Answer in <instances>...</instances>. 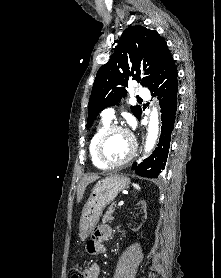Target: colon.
<instances>
[{"label": "colon", "mask_w": 221, "mask_h": 278, "mask_svg": "<svg viewBox=\"0 0 221 278\" xmlns=\"http://www.w3.org/2000/svg\"><path fill=\"white\" fill-rule=\"evenodd\" d=\"M67 278H87L86 269L79 266L71 267Z\"/></svg>", "instance_id": "colon-1"}]
</instances>
